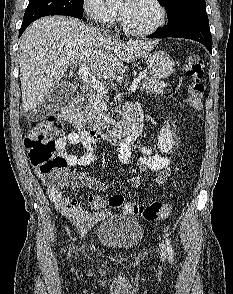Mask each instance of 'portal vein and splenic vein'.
Segmentation results:
<instances>
[{"instance_id":"portal-vein-and-splenic-vein-1","label":"portal vein and splenic vein","mask_w":233,"mask_h":294,"mask_svg":"<svg viewBox=\"0 0 233 294\" xmlns=\"http://www.w3.org/2000/svg\"><path fill=\"white\" fill-rule=\"evenodd\" d=\"M78 74L84 82L89 84L98 93L106 94L108 92L107 87L89 73L86 63H83L80 66ZM141 79L142 78L139 76L133 81L132 85L129 87L130 92H134L136 90Z\"/></svg>"}]
</instances>
